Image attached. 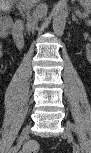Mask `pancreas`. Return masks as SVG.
I'll return each instance as SVG.
<instances>
[{
	"mask_svg": "<svg viewBox=\"0 0 91 153\" xmlns=\"http://www.w3.org/2000/svg\"><path fill=\"white\" fill-rule=\"evenodd\" d=\"M88 16V13L86 12L84 15H83V18H86ZM80 17H82V15L80 14Z\"/></svg>",
	"mask_w": 91,
	"mask_h": 153,
	"instance_id": "pancreas-1",
	"label": "pancreas"
}]
</instances>
